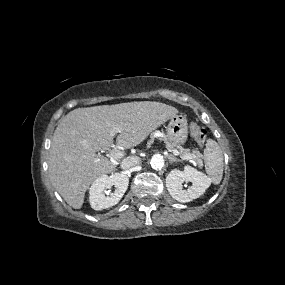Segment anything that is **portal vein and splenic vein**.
I'll return each mask as SVG.
<instances>
[{
	"instance_id": "18ae733b",
	"label": "portal vein and splenic vein",
	"mask_w": 285,
	"mask_h": 285,
	"mask_svg": "<svg viewBox=\"0 0 285 285\" xmlns=\"http://www.w3.org/2000/svg\"><path fill=\"white\" fill-rule=\"evenodd\" d=\"M109 132L111 134L115 135L116 133L120 132V129L117 127H113L110 129ZM172 152L175 156H181V154L178 150H173ZM109 156L113 159H121L124 156V153L121 150H119L118 148H114L110 151ZM192 157H194V155L181 156V158H183V159H191Z\"/></svg>"
}]
</instances>
